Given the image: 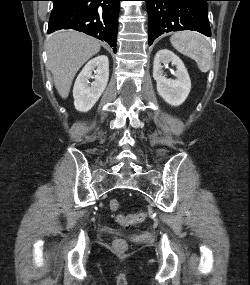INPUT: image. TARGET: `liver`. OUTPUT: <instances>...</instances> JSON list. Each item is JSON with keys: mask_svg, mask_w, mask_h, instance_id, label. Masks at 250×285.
Here are the masks:
<instances>
[{"mask_svg": "<svg viewBox=\"0 0 250 285\" xmlns=\"http://www.w3.org/2000/svg\"><path fill=\"white\" fill-rule=\"evenodd\" d=\"M100 42L84 33L57 31L47 41V65L55 87L62 98H67L73 79L92 56L100 50Z\"/></svg>", "mask_w": 250, "mask_h": 285, "instance_id": "6515ba94", "label": "liver"}]
</instances>
